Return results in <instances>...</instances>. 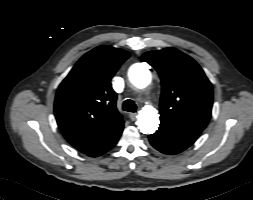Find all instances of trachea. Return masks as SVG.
I'll return each mask as SVG.
<instances>
[{
    "label": "trachea",
    "instance_id": "3493384b",
    "mask_svg": "<svg viewBox=\"0 0 253 200\" xmlns=\"http://www.w3.org/2000/svg\"><path fill=\"white\" fill-rule=\"evenodd\" d=\"M137 106L133 100L127 99L123 103V110L128 112H135Z\"/></svg>",
    "mask_w": 253,
    "mask_h": 200
}]
</instances>
